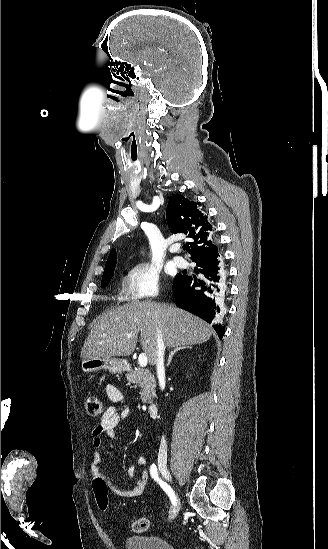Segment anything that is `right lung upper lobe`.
<instances>
[{"label": "right lung upper lobe", "mask_w": 328, "mask_h": 549, "mask_svg": "<svg viewBox=\"0 0 328 549\" xmlns=\"http://www.w3.org/2000/svg\"><path fill=\"white\" fill-rule=\"evenodd\" d=\"M198 202L189 201L182 195L170 197L166 219L172 233H183L192 240L189 253L191 259L196 260L209 255H217L218 247L214 238V227L209 222L208 214L197 208ZM116 265V251L113 249L106 262L108 271Z\"/></svg>", "instance_id": "1"}]
</instances>
